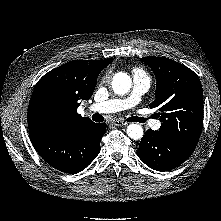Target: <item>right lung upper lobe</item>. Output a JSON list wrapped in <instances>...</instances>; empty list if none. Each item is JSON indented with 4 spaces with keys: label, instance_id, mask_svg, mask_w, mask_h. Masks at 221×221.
<instances>
[{
    "label": "right lung upper lobe",
    "instance_id": "obj_1",
    "mask_svg": "<svg viewBox=\"0 0 221 221\" xmlns=\"http://www.w3.org/2000/svg\"><path fill=\"white\" fill-rule=\"evenodd\" d=\"M112 61L74 60L46 73L36 84L29 102V133H57L92 122L78 114L77 108L80 100L92 96L99 73Z\"/></svg>",
    "mask_w": 221,
    "mask_h": 221
}]
</instances>
